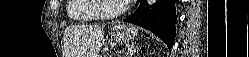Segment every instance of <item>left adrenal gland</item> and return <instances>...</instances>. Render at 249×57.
Instances as JSON below:
<instances>
[{"label":"left adrenal gland","mask_w":249,"mask_h":57,"mask_svg":"<svg viewBox=\"0 0 249 57\" xmlns=\"http://www.w3.org/2000/svg\"><path fill=\"white\" fill-rule=\"evenodd\" d=\"M135 52H136V48H135L134 44L128 46V51L126 53V57H131Z\"/></svg>","instance_id":"a2214340"}]
</instances>
